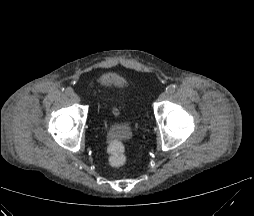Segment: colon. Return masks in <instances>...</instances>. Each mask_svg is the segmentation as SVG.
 Instances as JSON below:
<instances>
[{
  "mask_svg": "<svg viewBox=\"0 0 254 216\" xmlns=\"http://www.w3.org/2000/svg\"><path fill=\"white\" fill-rule=\"evenodd\" d=\"M108 162L111 166H122L126 161L125 145L118 136H113L109 140L107 147Z\"/></svg>",
  "mask_w": 254,
  "mask_h": 216,
  "instance_id": "obj_1",
  "label": "colon"
}]
</instances>
